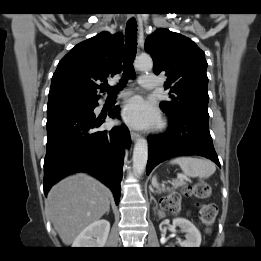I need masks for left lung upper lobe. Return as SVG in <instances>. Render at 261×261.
<instances>
[{
    "label": "left lung upper lobe",
    "mask_w": 261,
    "mask_h": 261,
    "mask_svg": "<svg viewBox=\"0 0 261 261\" xmlns=\"http://www.w3.org/2000/svg\"><path fill=\"white\" fill-rule=\"evenodd\" d=\"M145 50L153 58L156 75L165 72L169 99L160 107L168 115L190 111L209 118L205 53L188 37L158 29L146 38Z\"/></svg>",
    "instance_id": "1"
}]
</instances>
